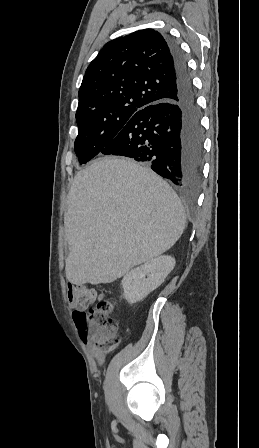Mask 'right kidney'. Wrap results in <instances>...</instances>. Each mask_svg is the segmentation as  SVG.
<instances>
[{
  "label": "right kidney",
  "instance_id": "ca27d5eb",
  "mask_svg": "<svg viewBox=\"0 0 259 448\" xmlns=\"http://www.w3.org/2000/svg\"><path fill=\"white\" fill-rule=\"evenodd\" d=\"M175 264L176 262L171 256H159V258L150 260L143 266L128 272L122 280L125 300L129 304H136L146 298L150 292L163 284Z\"/></svg>",
  "mask_w": 259,
  "mask_h": 448
}]
</instances>
